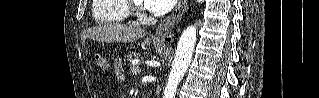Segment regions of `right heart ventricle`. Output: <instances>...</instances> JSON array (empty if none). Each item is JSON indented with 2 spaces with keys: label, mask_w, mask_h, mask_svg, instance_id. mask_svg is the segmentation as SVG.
<instances>
[{
  "label": "right heart ventricle",
  "mask_w": 319,
  "mask_h": 98,
  "mask_svg": "<svg viewBox=\"0 0 319 98\" xmlns=\"http://www.w3.org/2000/svg\"><path fill=\"white\" fill-rule=\"evenodd\" d=\"M92 14L100 24L121 23L128 18L129 7L125 0H95Z\"/></svg>",
  "instance_id": "e07e8e85"
}]
</instances>
